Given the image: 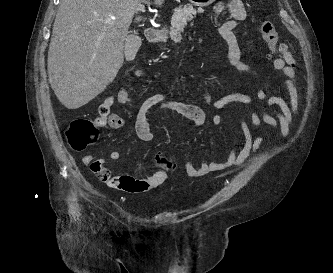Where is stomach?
Here are the masks:
<instances>
[{
	"mask_svg": "<svg viewBox=\"0 0 333 273\" xmlns=\"http://www.w3.org/2000/svg\"><path fill=\"white\" fill-rule=\"evenodd\" d=\"M215 1L216 0H189V2L192 3L193 5L200 6V7L208 6V5L212 4ZM162 39L164 41H166L165 36H163Z\"/></svg>",
	"mask_w": 333,
	"mask_h": 273,
	"instance_id": "1",
	"label": "stomach"
}]
</instances>
